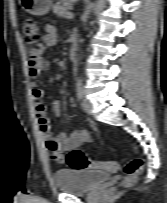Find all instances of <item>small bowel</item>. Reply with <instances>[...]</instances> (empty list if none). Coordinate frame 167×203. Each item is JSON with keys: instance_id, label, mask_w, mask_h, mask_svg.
<instances>
[{"instance_id": "1", "label": "small bowel", "mask_w": 167, "mask_h": 203, "mask_svg": "<svg viewBox=\"0 0 167 203\" xmlns=\"http://www.w3.org/2000/svg\"><path fill=\"white\" fill-rule=\"evenodd\" d=\"M57 42V31L54 26L46 27V34L42 38L37 50H34L30 54L29 60V76L33 83H36L38 78L44 74L48 66L46 62L39 56V51L45 47L54 46ZM45 92L41 89H34L32 92V98L34 102V113L41 133L45 139L46 148L49 150L51 158L54 161H63V152L71 150L80 146L85 142L91 140V136L84 130H73L70 133H60L57 136H52L50 133V123L47 117L46 106L43 103ZM75 105L74 100L69 102V106ZM52 111L55 115L61 113V104L59 100H54L51 104ZM118 168L117 163H106V170H116Z\"/></svg>"}]
</instances>
